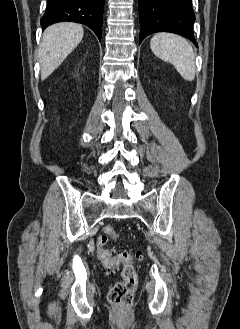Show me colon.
I'll return each instance as SVG.
<instances>
[{
  "label": "colon",
  "mask_w": 240,
  "mask_h": 329,
  "mask_svg": "<svg viewBox=\"0 0 240 329\" xmlns=\"http://www.w3.org/2000/svg\"><path fill=\"white\" fill-rule=\"evenodd\" d=\"M114 237H116L114 228L109 225L105 226L97 240V255L105 269L113 270L122 264L121 278L109 288L108 300L111 304L126 309L133 304L137 289V275L133 262L138 254L129 251H120L114 254L111 249L106 247L109 239Z\"/></svg>",
  "instance_id": "colon-1"
}]
</instances>
